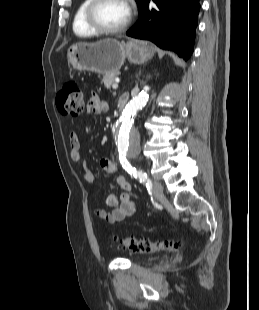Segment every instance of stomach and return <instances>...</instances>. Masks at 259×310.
<instances>
[{
    "label": "stomach",
    "mask_w": 259,
    "mask_h": 310,
    "mask_svg": "<svg viewBox=\"0 0 259 310\" xmlns=\"http://www.w3.org/2000/svg\"><path fill=\"white\" fill-rule=\"evenodd\" d=\"M154 55V49L129 41L126 44L116 39H104L96 43L79 42L69 47L68 63L79 71L99 74L118 73L126 58L134 64H143Z\"/></svg>",
    "instance_id": "obj_1"
}]
</instances>
